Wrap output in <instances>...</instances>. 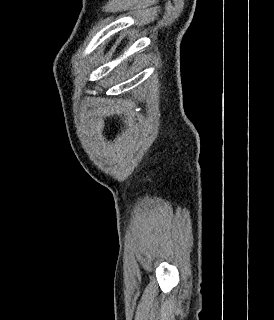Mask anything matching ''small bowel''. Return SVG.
Instances as JSON below:
<instances>
[{
    "label": "small bowel",
    "mask_w": 274,
    "mask_h": 320,
    "mask_svg": "<svg viewBox=\"0 0 274 320\" xmlns=\"http://www.w3.org/2000/svg\"><path fill=\"white\" fill-rule=\"evenodd\" d=\"M101 126H102L101 121H97L96 124H95V129H96L97 131H100Z\"/></svg>",
    "instance_id": "1"
}]
</instances>
